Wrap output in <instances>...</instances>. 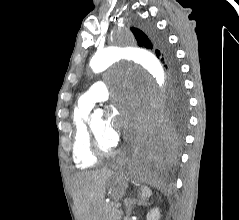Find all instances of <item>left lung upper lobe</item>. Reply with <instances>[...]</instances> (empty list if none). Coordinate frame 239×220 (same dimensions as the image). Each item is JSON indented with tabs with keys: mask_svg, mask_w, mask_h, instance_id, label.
<instances>
[{
	"mask_svg": "<svg viewBox=\"0 0 239 220\" xmlns=\"http://www.w3.org/2000/svg\"><path fill=\"white\" fill-rule=\"evenodd\" d=\"M137 43L140 47L154 49L157 57H161L170 75L172 84L173 110L171 124L180 130L186 120V98L180 80L179 70L175 59L167 47L165 38L159 34L152 26H147L144 31L131 28Z\"/></svg>",
	"mask_w": 239,
	"mask_h": 220,
	"instance_id": "left-lung-upper-lobe-1",
	"label": "left lung upper lobe"
}]
</instances>
